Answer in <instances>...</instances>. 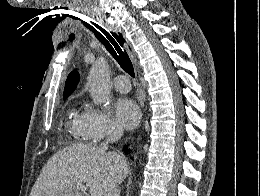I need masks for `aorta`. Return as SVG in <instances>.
Returning <instances> with one entry per match:
<instances>
[{"label": "aorta", "mask_w": 260, "mask_h": 196, "mask_svg": "<svg viewBox=\"0 0 260 196\" xmlns=\"http://www.w3.org/2000/svg\"><path fill=\"white\" fill-rule=\"evenodd\" d=\"M88 86L94 103L107 105L111 100L110 67L104 57H99L92 64L88 75Z\"/></svg>", "instance_id": "1"}]
</instances>
